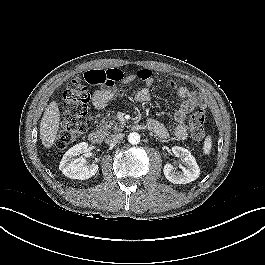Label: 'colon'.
<instances>
[{"label":"colon","instance_id":"obj_1","mask_svg":"<svg viewBox=\"0 0 265 265\" xmlns=\"http://www.w3.org/2000/svg\"><path fill=\"white\" fill-rule=\"evenodd\" d=\"M117 75L118 70H95L87 73L85 80L92 85H106L115 82ZM149 75L151 72L146 69L136 73L137 78L142 80ZM90 99V93L79 77L69 82L63 92L62 121L56 139L58 148L64 149L73 144L84 131ZM206 121V112L201 106H197L189 117L191 135L194 139L202 140L205 137Z\"/></svg>","mask_w":265,"mask_h":265}]
</instances>
